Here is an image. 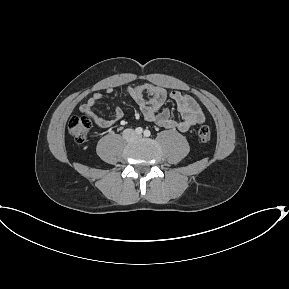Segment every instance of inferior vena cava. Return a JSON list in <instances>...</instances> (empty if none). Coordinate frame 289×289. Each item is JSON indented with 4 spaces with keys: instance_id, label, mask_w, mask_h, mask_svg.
<instances>
[{
    "instance_id": "inferior-vena-cava-1",
    "label": "inferior vena cava",
    "mask_w": 289,
    "mask_h": 289,
    "mask_svg": "<svg viewBox=\"0 0 289 289\" xmlns=\"http://www.w3.org/2000/svg\"><path fill=\"white\" fill-rule=\"evenodd\" d=\"M123 137L126 139V140H132L136 137V133L133 129H125L123 131Z\"/></svg>"
}]
</instances>
